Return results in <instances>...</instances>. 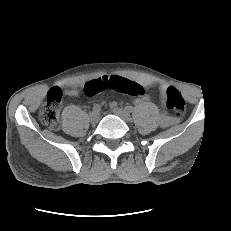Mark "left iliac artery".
<instances>
[{
    "mask_svg": "<svg viewBox=\"0 0 231 231\" xmlns=\"http://www.w3.org/2000/svg\"><path fill=\"white\" fill-rule=\"evenodd\" d=\"M125 110L128 112V113H132L134 108L132 106H126L125 107Z\"/></svg>",
    "mask_w": 231,
    "mask_h": 231,
    "instance_id": "44dca946",
    "label": "left iliac artery"
}]
</instances>
